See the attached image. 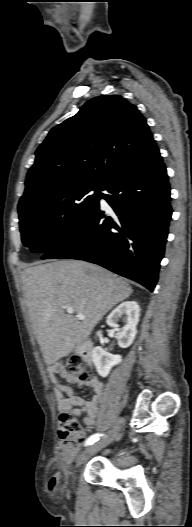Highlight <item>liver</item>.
Returning a JSON list of instances; mask_svg holds the SVG:
<instances>
[{
  "instance_id": "obj_1",
  "label": "liver",
  "mask_w": 192,
  "mask_h": 527,
  "mask_svg": "<svg viewBox=\"0 0 192 527\" xmlns=\"http://www.w3.org/2000/svg\"><path fill=\"white\" fill-rule=\"evenodd\" d=\"M29 317L47 365L85 341L132 287L110 271L84 261L61 260L26 268L21 274ZM76 315L66 314L64 307ZM83 314L84 319H79Z\"/></svg>"
}]
</instances>
